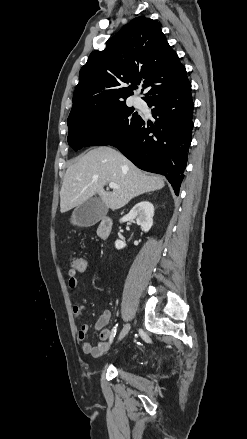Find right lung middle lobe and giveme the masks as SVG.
Masks as SVG:
<instances>
[{
	"label": "right lung middle lobe",
	"instance_id": "right-lung-middle-lobe-1",
	"mask_svg": "<svg viewBox=\"0 0 247 439\" xmlns=\"http://www.w3.org/2000/svg\"><path fill=\"white\" fill-rule=\"evenodd\" d=\"M141 116L125 101L92 108L68 117V143L75 151L84 146L109 145L132 129Z\"/></svg>",
	"mask_w": 247,
	"mask_h": 439
}]
</instances>
